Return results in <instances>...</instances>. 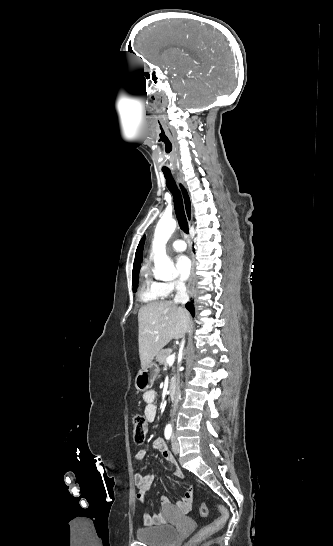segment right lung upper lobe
Masks as SVG:
<instances>
[{"instance_id": "1", "label": "right lung upper lobe", "mask_w": 333, "mask_h": 546, "mask_svg": "<svg viewBox=\"0 0 333 546\" xmlns=\"http://www.w3.org/2000/svg\"><path fill=\"white\" fill-rule=\"evenodd\" d=\"M144 240H145V236L141 239L138 247H137V250H136V254H135V261L134 263L138 264L141 262L142 260V253H143V248H144ZM139 266H138V271H139ZM135 280L133 279V284H134Z\"/></svg>"}]
</instances>
